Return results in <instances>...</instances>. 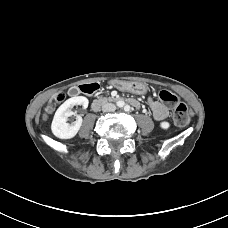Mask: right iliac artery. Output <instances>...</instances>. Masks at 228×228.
Instances as JSON below:
<instances>
[{
    "label": "right iliac artery",
    "instance_id": "obj_1",
    "mask_svg": "<svg viewBox=\"0 0 228 228\" xmlns=\"http://www.w3.org/2000/svg\"><path fill=\"white\" fill-rule=\"evenodd\" d=\"M123 105H124V102H122V101L117 102V106L123 107Z\"/></svg>",
    "mask_w": 228,
    "mask_h": 228
}]
</instances>
